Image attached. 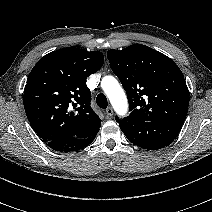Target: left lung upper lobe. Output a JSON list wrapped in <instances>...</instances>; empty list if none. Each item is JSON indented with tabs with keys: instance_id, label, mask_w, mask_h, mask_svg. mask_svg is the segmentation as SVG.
<instances>
[{
	"instance_id": "5c2ea615",
	"label": "left lung upper lobe",
	"mask_w": 212,
	"mask_h": 212,
	"mask_svg": "<svg viewBox=\"0 0 212 212\" xmlns=\"http://www.w3.org/2000/svg\"><path fill=\"white\" fill-rule=\"evenodd\" d=\"M107 58L127 93L131 111L125 119L116 116L120 127L141 121L183 124L189 91L183 73L172 59L141 44L109 50Z\"/></svg>"
}]
</instances>
